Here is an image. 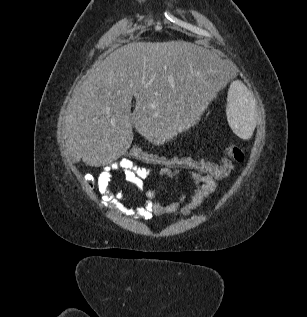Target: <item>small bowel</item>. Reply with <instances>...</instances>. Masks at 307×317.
Segmentation results:
<instances>
[{"label": "small bowel", "mask_w": 307, "mask_h": 317, "mask_svg": "<svg viewBox=\"0 0 307 317\" xmlns=\"http://www.w3.org/2000/svg\"><path fill=\"white\" fill-rule=\"evenodd\" d=\"M117 170L121 171L126 181L133 184L145 197L139 207L127 212L128 215L137 219L148 220L153 216L164 214L176 217L186 216L198 208L203 201L215 191L217 186L215 178L189 171L190 178L194 184L192 196L189 198L187 192H183L176 201L165 204L160 200H154L157 193L155 188L145 189L144 181L151 175L152 169L120 159L116 162L104 165L96 179L97 190L102 196V202L110 208H116L119 204V200L122 199L121 195H114L111 189L113 172ZM178 173L179 170L162 168L159 171V177L173 181Z\"/></svg>", "instance_id": "small-bowel-1"}]
</instances>
